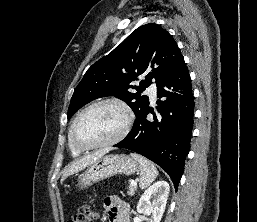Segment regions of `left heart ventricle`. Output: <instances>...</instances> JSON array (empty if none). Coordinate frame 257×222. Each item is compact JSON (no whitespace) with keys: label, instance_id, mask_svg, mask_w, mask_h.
<instances>
[{"label":"left heart ventricle","instance_id":"obj_1","mask_svg":"<svg viewBox=\"0 0 257 222\" xmlns=\"http://www.w3.org/2000/svg\"><path fill=\"white\" fill-rule=\"evenodd\" d=\"M123 111L112 104L95 107L78 122L75 135L85 145L98 144L116 136L124 124Z\"/></svg>","mask_w":257,"mask_h":222}]
</instances>
